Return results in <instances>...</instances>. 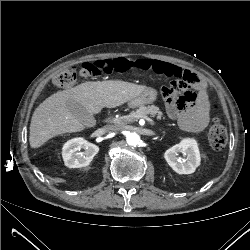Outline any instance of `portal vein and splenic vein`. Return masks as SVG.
Instances as JSON below:
<instances>
[{"label":"portal vein and splenic vein","mask_w":250,"mask_h":250,"mask_svg":"<svg viewBox=\"0 0 250 250\" xmlns=\"http://www.w3.org/2000/svg\"><path fill=\"white\" fill-rule=\"evenodd\" d=\"M140 118H143V119H145L146 121H148V122H150V123H154V121L150 118V117H148V116H141Z\"/></svg>","instance_id":"1"}]
</instances>
